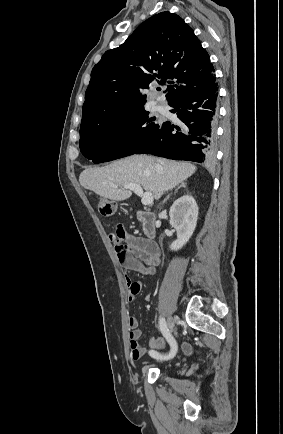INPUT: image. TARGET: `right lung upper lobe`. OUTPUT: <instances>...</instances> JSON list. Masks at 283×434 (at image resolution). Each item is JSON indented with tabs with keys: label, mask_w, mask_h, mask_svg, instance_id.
<instances>
[{
	"label": "right lung upper lobe",
	"mask_w": 283,
	"mask_h": 434,
	"mask_svg": "<svg viewBox=\"0 0 283 434\" xmlns=\"http://www.w3.org/2000/svg\"><path fill=\"white\" fill-rule=\"evenodd\" d=\"M213 66L193 29L173 13L144 21L118 48L106 51L91 72L81 129L144 107L143 89L166 84L168 104L215 82Z\"/></svg>",
	"instance_id": "cb5924a9"
}]
</instances>
